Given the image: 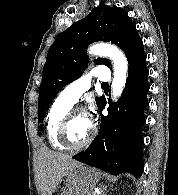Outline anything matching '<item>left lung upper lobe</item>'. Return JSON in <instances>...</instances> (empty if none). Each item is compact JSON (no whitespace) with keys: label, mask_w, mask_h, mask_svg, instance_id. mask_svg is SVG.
<instances>
[{"label":"left lung upper lobe","mask_w":178,"mask_h":195,"mask_svg":"<svg viewBox=\"0 0 178 195\" xmlns=\"http://www.w3.org/2000/svg\"><path fill=\"white\" fill-rule=\"evenodd\" d=\"M97 41H111L119 46L128 62L144 52L143 42L127 12L101 2L85 18L59 34L51 45L39 88V122L43 121L45 109L58 92L83 74L89 61L87 46ZM94 62L110 67L107 59L98 58ZM101 99L102 97H96L98 106Z\"/></svg>","instance_id":"5c2ea615"}]
</instances>
